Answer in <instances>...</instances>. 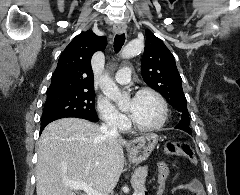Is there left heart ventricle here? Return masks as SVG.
Returning a JSON list of instances; mask_svg holds the SVG:
<instances>
[{"label": "left heart ventricle", "instance_id": "left-heart-ventricle-1", "mask_svg": "<svg viewBox=\"0 0 240 195\" xmlns=\"http://www.w3.org/2000/svg\"><path fill=\"white\" fill-rule=\"evenodd\" d=\"M124 110L131 119L140 126H149L156 123L161 114L158 100L151 94H143L125 101Z\"/></svg>", "mask_w": 240, "mask_h": 195}]
</instances>
